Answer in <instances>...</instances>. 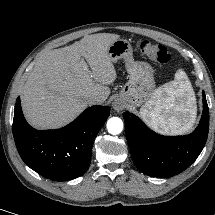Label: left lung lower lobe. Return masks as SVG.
<instances>
[{
	"label": "left lung lower lobe",
	"mask_w": 215,
	"mask_h": 215,
	"mask_svg": "<svg viewBox=\"0 0 215 215\" xmlns=\"http://www.w3.org/2000/svg\"><path fill=\"white\" fill-rule=\"evenodd\" d=\"M203 94V113L189 135L162 136L150 130L137 116L125 112L126 138L136 167L154 177H170L186 170L199 156L207 140L209 109Z\"/></svg>",
	"instance_id": "obj_1"
}]
</instances>
